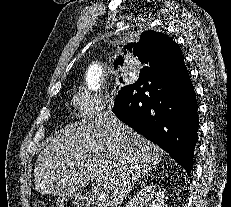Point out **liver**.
<instances>
[{"label":"liver","mask_w":231,"mask_h":207,"mask_svg":"<svg viewBox=\"0 0 231 207\" xmlns=\"http://www.w3.org/2000/svg\"><path fill=\"white\" fill-rule=\"evenodd\" d=\"M163 151L108 109L46 139L35 169L41 194L69 196L90 180L91 201L120 207L133 186L162 160Z\"/></svg>","instance_id":"obj_1"}]
</instances>
